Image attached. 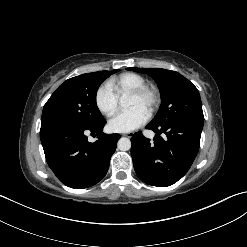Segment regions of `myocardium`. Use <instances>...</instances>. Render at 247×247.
Segmentation results:
<instances>
[{
  "label": "myocardium",
  "mask_w": 247,
  "mask_h": 247,
  "mask_svg": "<svg viewBox=\"0 0 247 247\" xmlns=\"http://www.w3.org/2000/svg\"><path fill=\"white\" fill-rule=\"evenodd\" d=\"M129 96L147 100V113L152 115L160 105L161 94L158 88L145 85L129 93Z\"/></svg>",
  "instance_id": "myocardium-1"
}]
</instances>
